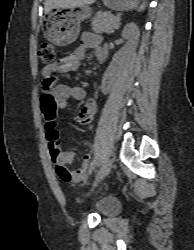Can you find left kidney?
Returning a JSON list of instances; mask_svg holds the SVG:
<instances>
[{"mask_svg":"<svg viewBox=\"0 0 194 250\" xmlns=\"http://www.w3.org/2000/svg\"><path fill=\"white\" fill-rule=\"evenodd\" d=\"M122 38L127 40L126 50L129 54L136 51L138 46L140 31L137 25L133 22L127 24L121 34Z\"/></svg>","mask_w":194,"mask_h":250,"instance_id":"1","label":"left kidney"}]
</instances>
